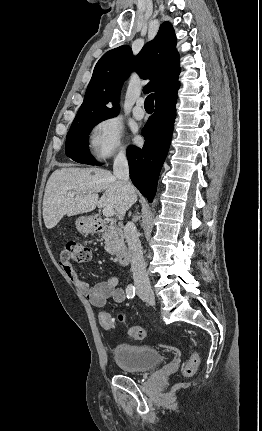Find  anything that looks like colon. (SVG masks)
Wrapping results in <instances>:
<instances>
[{"instance_id": "colon-1", "label": "colon", "mask_w": 262, "mask_h": 431, "mask_svg": "<svg viewBox=\"0 0 262 431\" xmlns=\"http://www.w3.org/2000/svg\"><path fill=\"white\" fill-rule=\"evenodd\" d=\"M91 249L82 242L69 241L65 244L63 253V262L66 264H80L88 261L91 258ZM119 321L124 323L125 317L119 315ZM99 323L104 330L114 328V318L107 312H102L99 315ZM128 337L133 340H143L146 338V331L138 325L130 326L127 329ZM200 364V355L194 350L183 367V375L186 377L193 376Z\"/></svg>"}]
</instances>
